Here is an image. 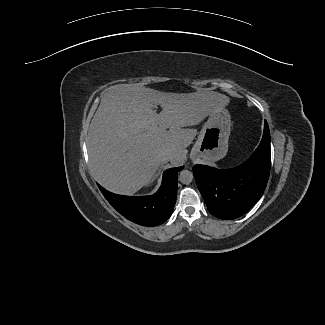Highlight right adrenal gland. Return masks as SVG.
<instances>
[{
    "label": "right adrenal gland",
    "mask_w": 325,
    "mask_h": 325,
    "mask_svg": "<svg viewBox=\"0 0 325 325\" xmlns=\"http://www.w3.org/2000/svg\"><path fill=\"white\" fill-rule=\"evenodd\" d=\"M157 175H158V173L155 175V177H156ZM155 177H154V178H155ZM153 180H154V179H152V181H153Z\"/></svg>",
    "instance_id": "2a0ac1e0"
}]
</instances>
